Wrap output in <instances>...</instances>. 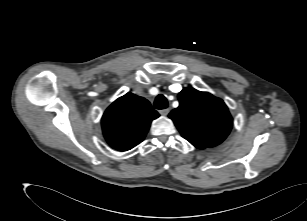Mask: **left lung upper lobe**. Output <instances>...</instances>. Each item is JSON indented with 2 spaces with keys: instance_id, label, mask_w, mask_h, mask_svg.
<instances>
[{
  "instance_id": "1",
  "label": "left lung upper lobe",
  "mask_w": 307,
  "mask_h": 221,
  "mask_svg": "<svg viewBox=\"0 0 307 221\" xmlns=\"http://www.w3.org/2000/svg\"><path fill=\"white\" fill-rule=\"evenodd\" d=\"M178 98L180 105L169 117L186 140L199 149L224 141L232 128V117L220 98L192 88L183 89Z\"/></svg>"
}]
</instances>
